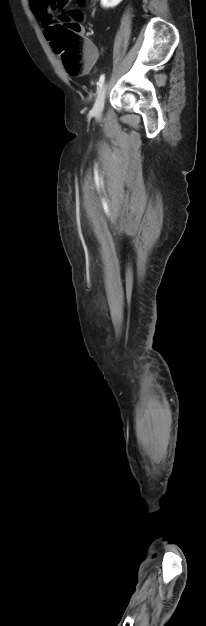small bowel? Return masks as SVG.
I'll list each match as a JSON object with an SVG mask.
<instances>
[{"instance_id": "obj_1", "label": "small bowel", "mask_w": 206, "mask_h": 626, "mask_svg": "<svg viewBox=\"0 0 206 626\" xmlns=\"http://www.w3.org/2000/svg\"><path fill=\"white\" fill-rule=\"evenodd\" d=\"M36 13L43 20L44 25H45L44 35L46 39L52 45L51 31L54 25L52 24L51 16L49 15L46 8L44 7L42 0H39L38 4L36 5ZM81 32H83V30H81ZM86 44H87L89 53L85 62L84 71L89 72L91 68L93 67V65L95 64V62L97 61L99 54L95 46L89 40H87Z\"/></svg>"}]
</instances>
